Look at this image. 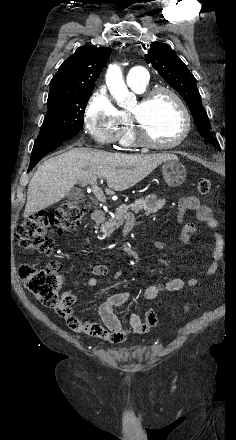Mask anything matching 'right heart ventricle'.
Returning <instances> with one entry per match:
<instances>
[{
	"instance_id": "1",
	"label": "right heart ventricle",
	"mask_w": 236,
	"mask_h": 440,
	"mask_svg": "<svg viewBox=\"0 0 236 440\" xmlns=\"http://www.w3.org/2000/svg\"><path fill=\"white\" fill-rule=\"evenodd\" d=\"M132 90L136 93H144L147 89L146 85H132L130 86ZM120 127L118 141L124 146H134L136 145V140L131 128V122L129 114L125 111H118Z\"/></svg>"
}]
</instances>
